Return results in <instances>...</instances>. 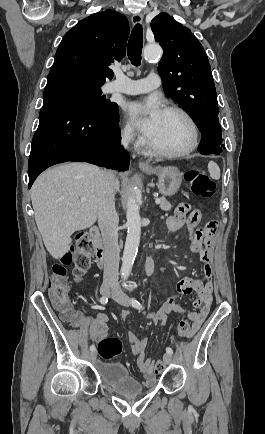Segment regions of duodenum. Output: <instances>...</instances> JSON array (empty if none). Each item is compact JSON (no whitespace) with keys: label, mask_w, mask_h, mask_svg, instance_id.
Returning <instances> with one entry per match:
<instances>
[{"label":"duodenum","mask_w":265,"mask_h":434,"mask_svg":"<svg viewBox=\"0 0 265 434\" xmlns=\"http://www.w3.org/2000/svg\"><path fill=\"white\" fill-rule=\"evenodd\" d=\"M90 237L93 240L95 244V259L96 264L99 267L104 266V260H105V250L103 246L100 244V238H99V229L96 227H93L90 229ZM144 272L147 276H150L154 273L155 270V258L153 256H147L144 259Z\"/></svg>","instance_id":"obj_1"}]
</instances>
